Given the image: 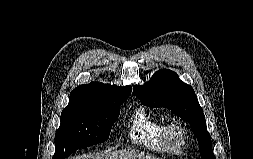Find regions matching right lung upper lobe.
Returning <instances> with one entry per match:
<instances>
[{
	"mask_svg": "<svg viewBox=\"0 0 253 159\" xmlns=\"http://www.w3.org/2000/svg\"><path fill=\"white\" fill-rule=\"evenodd\" d=\"M131 94V87H119L117 85L91 82L77 86L70 94L69 102L75 101H106L126 100Z\"/></svg>",
	"mask_w": 253,
	"mask_h": 159,
	"instance_id": "obj_1",
	"label": "right lung upper lobe"
}]
</instances>
